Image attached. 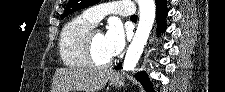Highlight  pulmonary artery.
I'll list each match as a JSON object with an SVG mask.
<instances>
[{"instance_id": "1", "label": "pulmonary artery", "mask_w": 225, "mask_h": 92, "mask_svg": "<svg viewBox=\"0 0 225 92\" xmlns=\"http://www.w3.org/2000/svg\"><path fill=\"white\" fill-rule=\"evenodd\" d=\"M132 4L130 2H111L102 3L97 6L86 9L82 13V17L91 22L93 25H97L104 15L108 13H118L121 15H131Z\"/></svg>"}]
</instances>
